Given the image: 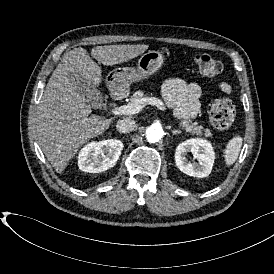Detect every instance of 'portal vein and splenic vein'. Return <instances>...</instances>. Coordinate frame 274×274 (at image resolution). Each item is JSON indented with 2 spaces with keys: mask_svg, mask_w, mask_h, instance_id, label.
<instances>
[{
  "mask_svg": "<svg viewBox=\"0 0 274 274\" xmlns=\"http://www.w3.org/2000/svg\"><path fill=\"white\" fill-rule=\"evenodd\" d=\"M155 101L153 97H144L141 99H137L134 103H128L127 105H123L120 107H115L112 110L115 115H131L139 113L147 104H151Z\"/></svg>",
  "mask_w": 274,
  "mask_h": 274,
  "instance_id": "portal-vein-and-splenic-vein-1",
  "label": "portal vein and splenic vein"
}]
</instances>
